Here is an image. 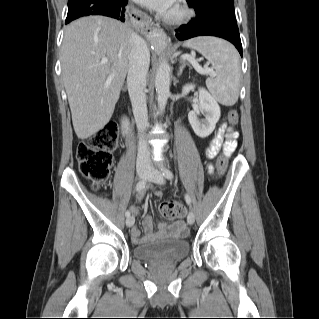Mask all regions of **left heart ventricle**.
Wrapping results in <instances>:
<instances>
[{"mask_svg": "<svg viewBox=\"0 0 319 319\" xmlns=\"http://www.w3.org/2000/svg\"><path fill=\"white\" fill-rule=\"evenodd\" d=\"M174 10V6L171 8V10L168 13H171Z\"/></svg>", "mask_w": 319, "mask_h": 319, "instance_id": "1", "label": "left heart ventricle"}]
</instances>
